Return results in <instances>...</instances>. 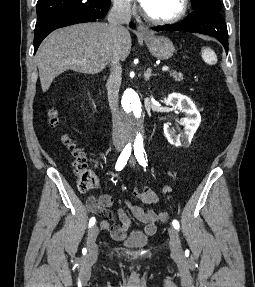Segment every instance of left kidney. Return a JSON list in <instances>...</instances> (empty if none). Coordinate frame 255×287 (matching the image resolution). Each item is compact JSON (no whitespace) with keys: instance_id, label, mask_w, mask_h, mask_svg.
I'll return each instance as SVG.
<instances>
[{"instance_id":"1","label":"left kidney","mask_w":255,"mask_h":287,"mask_svg":"<svg viewBox=\"0 0 255 287\" xmlns=\"http://www.w3.org/2000/svg\"><path fill=\"white\" fill-rule=\"evenodd\" d=\"M167 106H172L176 108L179 112H184L186 118H183L182 126H184V132L182 134H176L174 130H171L169 126L171 124H163L164 134L172 145H185L190 144L200 122L201 116L192 100L188 96H182V94H169L168 98L164 100Z\"/></svg>"}]
</instances>
